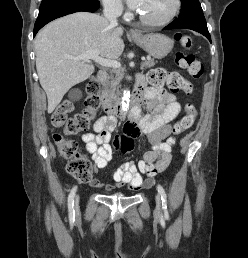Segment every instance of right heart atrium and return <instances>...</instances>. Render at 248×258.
Returning a JSON list of instances; mask_svg holds the SVG:
<instances>
[{
  "instance_id": "obj_1",
  "label": "right heart atrium",
  "mask_w": 248,
  "mask_h": 258,
  "mask_svg": "<svg viewBox=\"0 0 248 258\" xmlns=\"http://www.w3.org/2000/svg\"><path fill=\"white\" fill-rule=\"evenodd\" d=\"M106 12L112 15H121L124 7L121 0H101Z\"/></svg>"
}]
</instances>
